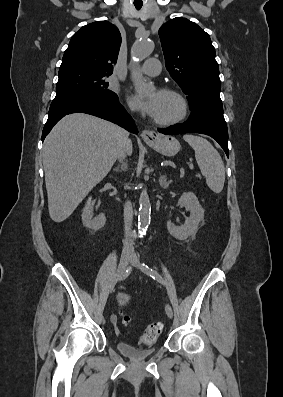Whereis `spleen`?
I'll return each instance as SVG.
<instances>
[{
	"instance_id": "1",
	"label": "spleen",
	"mask_w": 283,
	"mask_h": 397,
	"mask_svg": "<svg viewBox=\"0 0 283 397\" xmlns=\"http://www.w3.org/2000/svg\"><path fill=\"white\" fill-rule=\"evenodd\" d=\"M183 139L195 151V158L202 175L206 178L207 186L215 193L223 190L225 182V168L218 151L212 144L200 136L187 134Z\"/></svg>"
}]
</instances>
